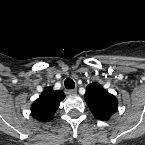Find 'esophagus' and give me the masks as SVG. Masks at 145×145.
Here are the masks:
<instances>
[{
    "mask_svg": "<svg viewBox=\"0 0 145 145\" xmlns=\"http://www.w3.org/2000/svg\"><path fill=\"white\" fill-rule=\"evenodd\" d=\"M67 94L68 95H75V94H77V90L76 89H69V90H67Z\"/></svg>",
    "mask_w": 145,
    "mask_h": 145,
    "instance_id": "esophagus-1",
    "label": "esophagus"
}]
</instances>
